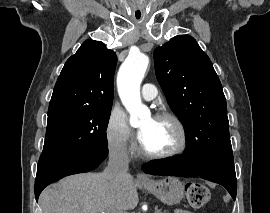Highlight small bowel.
Masks as SVG:
<instances>
[{"instance_id": "c3829d8e", "label": "small bowel", "mask_w": 270, "mask_h": 213, "mask_svg": "<svg viewBox=\"0 0 270 213\" xmlns=\"http://www.w3.org/2000/svg\"><path fill=\"white\" fill-rule=\"evenodd\" d=\"M176 213H192V212L187 211V210H183V209H179L176 211Z\"/></svg>"}]
</instances>
